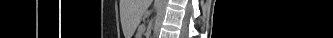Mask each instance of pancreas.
<instances>
[{"label": "pancreas", "mask_w": 333, "mask_h": 38, "mask_svg": "<svg viewBox=\"0 0 333 38\" xmlns=\"http://www.w3.org/2000/svg\"><path fill=\"white\" fill-rule=\"evenodd\" d=\"M139 32L142 33V28L139 29Z\"/></svg>", "instance_id": "cf45deb5"}]
</instances>
